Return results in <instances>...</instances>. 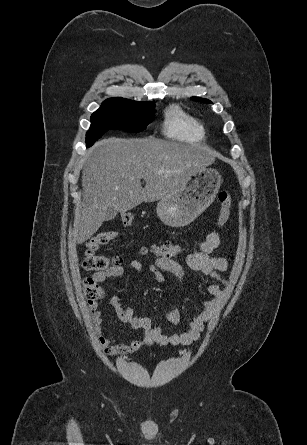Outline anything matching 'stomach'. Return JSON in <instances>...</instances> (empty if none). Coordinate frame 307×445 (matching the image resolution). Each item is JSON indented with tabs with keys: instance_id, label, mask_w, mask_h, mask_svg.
I'll list each match as a JSON object with an SVG mask.
<instances>
[{
	"instance_id": "obj_1",
	"label": "stomach",
	"mask_w": 307,
	"mask_h": 445,
	"mask_svg": "<svg viewBox=\"0 0 307 445\" xmlns=\"http://www.w3.org/2000/svg\"><path fill=\"white\" fill-rule=\"evenodd\" d=\"M222 178L216 168H199L190 174L179 194H169L157 202L156 212L167 227L182 229L204 212L213 202Z\"/></svg>"
}]
</instances>
